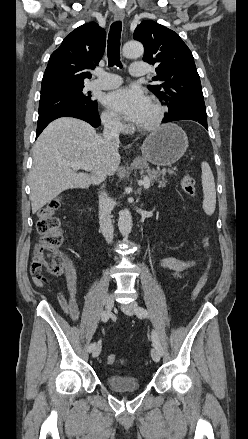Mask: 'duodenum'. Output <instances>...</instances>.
Wrapping results in <instances>:
<instances>
[{"instance_id": "1", "label": "duodenum", "mask_w": 248, "mask_h": 439, "mask_svg": "<svg viewBox=\"0 0 248 439\" xmlns=\"http://www.w3.org/2000/svg\"><path fill=\"white\" fill-rule=\"evenodd\" d=\"M84 216H85L86 219L92 220V216L88 212H86V211H84Z\"/></svg>"}]
</instances>
